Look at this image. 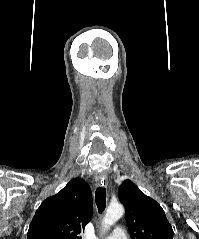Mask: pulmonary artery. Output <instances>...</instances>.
I'll return each mask as SVG.
<instances>
[{
  "mask_svg": "<svg viewBox=\"0 0 199 239\" xmlns=\"http://www.w3.org/2000/svg\"><path fill=\"white\" fill-rule=\"evenodd\" d=\"M104 239H127V235L123 229L117 228L112 234L105 237Z\"/></svg>",
  "mask_w": 199,
  "mask_h": 239,
  "instance_id": "1",
  "label": "pulmonary artery"
}]
</instances>
